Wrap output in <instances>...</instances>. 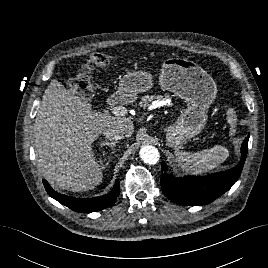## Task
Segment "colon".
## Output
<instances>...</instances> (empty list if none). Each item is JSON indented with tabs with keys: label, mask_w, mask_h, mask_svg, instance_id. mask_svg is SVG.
Returning a JSON list of instances; mask_svg holds the SVG:
<instances>
[{
	"label": "colon",
	"mask_w": 268,
	"mask_h": 268,
	"mask_svg": "<svg viewBox=\"0 0 268 268\" xmlns=\"http://www.w3.org/2000/svg\"><path fill=\"white\" fill-rule=\"evenodd\" d=\"M113 57L104 52L91 53L82 64L79 72L68 80L69 88L84 99L94 97V84L90 73L94 70L108 66Z\"/></svg>",
	"instance_id": "1"
}]
</instances>
